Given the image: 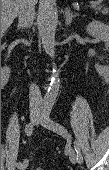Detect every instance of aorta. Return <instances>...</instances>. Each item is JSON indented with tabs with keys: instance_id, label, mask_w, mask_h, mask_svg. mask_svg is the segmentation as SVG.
I'll use <instances>...</instances> for the list:
<instances>
[{
	"instance_id": "762f6f07",
	"label": "aorta",
	"mask_w": 109,
	"mask_h": 170,
	"mask_svg": "<svg viewBox=\"0 0 109 170\" xmlns=\"http://www.w3.org/2000/svg\"><path fill=\"white\" fill-rule=\"evenodd\" d=\"M57 11L55 8V0H45L41 10L39 30L43 47L46 53L55 58V33L57 27ZM60 87L59 72L53 69L51 75V83L44 97L46 104H53L57 98Z\"/></svg>"
}]
</instances>
